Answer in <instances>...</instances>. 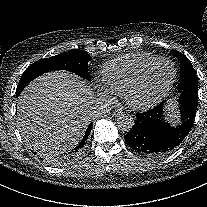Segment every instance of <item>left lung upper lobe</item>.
<instances>
[{"label":"left lung upper lobe","instance_id":"left-lung-upper-lobe-1","mask_svg":"<svg viewBox=\"0 0 207 207\" xmlns=\"http://www.w3.org/2000/svg\"><path fill=\"white\" fill-rule=\"evenodd\" d=\"M172 53L180 61V83L178 92L179 102H186L197 105L198 103V79L190 60L179 51L172 50Z\"/></svg>","mask_w":207,"mask_h":207}]
</instances>
